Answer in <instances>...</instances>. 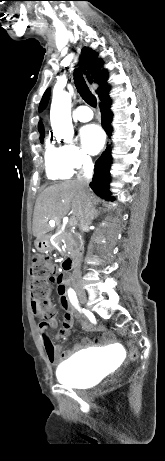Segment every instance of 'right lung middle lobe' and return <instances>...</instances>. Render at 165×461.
<instances>
[{
	"mask_svg": "<svg viewBox=\"0 0 165 461\" xmlns=\"http://www.w3.org/2000/svg\"><path fill=\"white\" fill-rule=\"evenodd\" d=\"M44 135L40 136V141L43 142Z\"/></svg>",
	"mask_w": 165,
	"mask_h": 461,
	"instance_id": "right-lung-middle-lobe-1",
	"label": "right lung middle lobe"
}]
</instances>
